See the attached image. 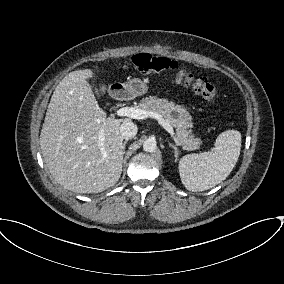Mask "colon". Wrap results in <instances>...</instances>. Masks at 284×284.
Segmentation results:
<instances>
[{
  "instance_id": "1",
  "label": "colon",
  "mask_w": 284,
  "mask_h": 284,
  "mask_svg": "<svg viewBox=\"0 0 284 284\" xmlns=\"http://www.w3.org/2000/svg\"><path fill=\"white\" fill-rule=\"evenodd\" d=\"M132 63L142 74L174 72L177 82L191 86L195 93L205 100L214 103L217 99L216 88L206 78L194 77L190 72L178 70L177 63L167 57L140 53L132 57Z\"/></svg>"
}]
</instances>
